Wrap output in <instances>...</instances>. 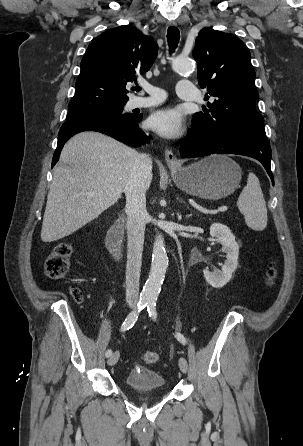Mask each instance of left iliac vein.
<instances>
[{
  "instance_id": "4c4485c4",
  "label": "left iliac vein",
  "mask_w": 303,
  "mask_h": 446,
  "mask_svg": "<svg viewBox=\"0 0 303 446\" xmlns=\"http://www.w3.org/2000/svg\"><path fill=\"white\" fill-rule=\"evenodd\" d=\"M178 364H179V368H180V370H181L183 373H186L187 370H188V363H187V360H186L184 357H180V358H179V361H178Z\"/></svg>"
}]
</instances>
